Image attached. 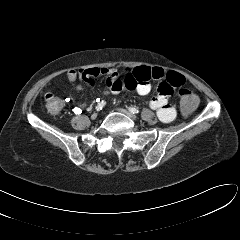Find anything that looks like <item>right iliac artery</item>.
<instances>
[{
  "instance_id": "right-iliac-artery-1",
  "label": "right iliac artery",
  "mask_w": 240,
  "mask_h": 240,
  "mask_svg": "<svg viewBox=\"0 0 240 240\" xmlns=\"http://www.w3.org/2000/svg\"><path fill=\"white\" fill-rule=\"evenodd\" d=\"M105 105H106V102L102 100V101L96 106V110H97V111L102 110Z\"/></svg>"
}]
</instances>
